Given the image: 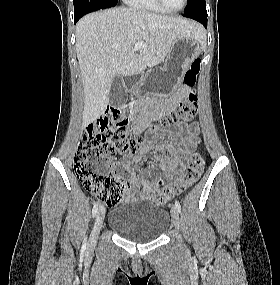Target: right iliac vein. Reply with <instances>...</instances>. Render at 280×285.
Returning a JSON list of instances; mask_svg holds the SVG:
<instances>
[{
    "instance_id": "1",
    "label": "right iliac vein",
    "mask_w": 280,
    "mask_h": 285,
    "mask_svg": "<svg viewBox=\"0 0 280 285\" xmlns=\"http://www.w3.org/2000/svg\"><path fill=\"white\" fill-rule=\"evenodd\" d=\"M104 217H105V208L100 207V209L98 210V212L96 214L94 227H93L91 237H90V245L91 246H94V244L96 243V241L98 239L100 230H101L102 225H103Z\"/></svg>"
}]
</instances>
